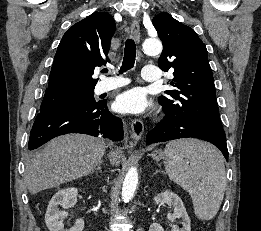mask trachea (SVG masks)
Listing matches in <instances>:
<instances>
[{"label":"trachea","instance_id":"3493384b","mask_svg":"<svg viewBox=\"0 0 261 231\" xmlns=\"http://www.w3.org/2000/svg\"><path fill=\"white\" fill-rule=\"evenodd\" d=\"M136 58V44L133 39H127L125 44L124 58L119 73L125 72L134 67ZM107 69H103L102 73H107Z\"/></svg>","mask_w":261,"mask_h":231}]
</instances>
